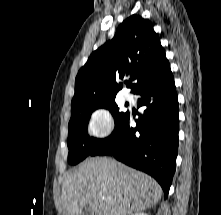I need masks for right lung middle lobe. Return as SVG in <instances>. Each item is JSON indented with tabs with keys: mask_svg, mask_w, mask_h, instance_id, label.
Returning a JSON list of instances; mask_svg holds the SVG:
<instances>
[{
	"mask_svg": "<svg viewBox=\"0 0 221 215\" xmlns=\"http://www.w3.org/2000/svg\"><path fill=\"white\" fill-rule=\"evenodd\" d=\"M108 109L114 117L115 128L119 125L126 113L120 112L115 99L71 105V119L68 125V162L77 164L84 160L91 152L101 145L105 139H96L87 134V125L91 113L98 109Z\"/></svg>",
	"mask_w": 221,
	"mask_h": 215,
	"instance_id": "right-lung-middle-lobe-1",
	"label": "right lung middle lobe"
}]
</instances>
